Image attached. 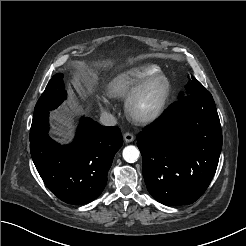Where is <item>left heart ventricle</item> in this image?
<instances>
[{
    "label": "left heart ventricle",
    "mask_w": 246,
    "mask_h": 246,
    "mask_svg": "<svg viewBox=\"0 0 246 246\" xmlns=\"http://www.w3.org/2000/svg\"><path fill=\"white\" fill-rule=\"evenodd\" d=\"M163 90L164 83L162 81L152 85L141 101V109L148 110L154 107L155 104L158 102Z\"/></svg>",
    "instance_id": "obj_1"
}]
</instances>
